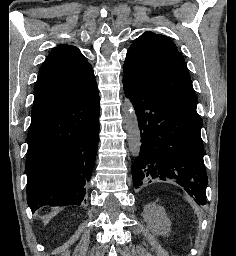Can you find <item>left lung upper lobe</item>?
I'll return each mask as SVG.
<instances>
[{"mask_svg":"<svg viewBox=\"0 0 236 256\" xmlns=\"http://www.w3.org/2000/svg\"><path fill=\"white\" fill-rule=\"evenodd\" d=\"M124 77L196 108L197 97L183 56L167 37L146 32L130 46Z\"/></svg>","mask_w":236,"mask_h":256,"instance_id":"obj_1","label":"left lung upper lobe"}]
</instances>
